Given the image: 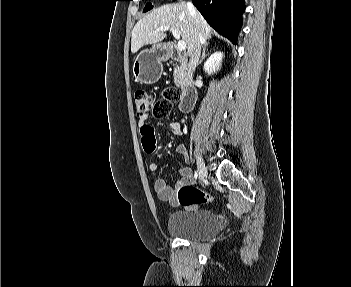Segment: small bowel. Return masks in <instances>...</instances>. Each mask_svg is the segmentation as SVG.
<instances>
[{
	"mask_svg": "<svg viewBox=\"0 0 351 287\" xmlns=\"http://www.w3.org/2000/svg\"><path fill=\"white\" fill-rule=\"evenodd\" d=\"M148 121V115H142L138 119L140 127L141 142H142V156H156V149L159 148V142H156V132L153 124ZM169 134L180 136L183 134V128L180 123L172 122L167 125ZM176 152L181 156L185 163L189 162L187 150L184 144L180 143L176 146ZM148 169L152 174L157 171V164L154 162L149 163ZM181 178L176 182V188L170 187L163 179H156L154 181V189L158 197L167 201L174 206H178L177 190L192 182V170L189 166L181 167L179 170Z\"/></svg>",
	"mask_w": 351,
	"mask_h": 287,
	"instance_id": "small-bowel-1",
	"label": "small bowel"
}]
</instances>
